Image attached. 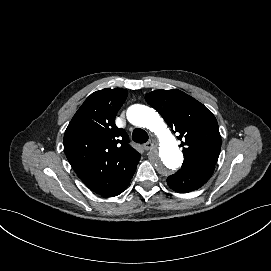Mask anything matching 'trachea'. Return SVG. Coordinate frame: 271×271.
I'll list each match as a JSON object with an SVG mask.
<instances>
[{
  "instance_id": "trachea-1",
  "label": "trachea",
  "mask_w": 271,
  "mask_h": 271,
  "mask_svg": "<svg viewBox=\"0 0 271 271\" xmlns=\"http://www.w3.org/2000/svg\"><path fill=\"white\" fill-rule=\"evenodd\" d=\"M149 139V136L145 130L141 128H136L132 132V140L136 143H146Z\"/></svg>"
}]
</instances>
